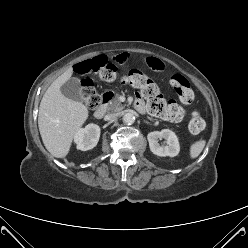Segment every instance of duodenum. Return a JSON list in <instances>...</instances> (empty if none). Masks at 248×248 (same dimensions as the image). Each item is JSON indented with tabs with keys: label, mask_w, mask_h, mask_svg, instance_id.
Wrapping results in <instances>:
<instances>
[{
	"label": "duodenum",
	"mask_w": 248,
	"mask_h": 248,
	"mask_svg": "<svg viewBox=\"0 0 248 248\" xmlns=\"http://www.w3.org/2000/svg\"><path fill=\"white\" fill-rule=\"evenodd\" d=\"M111 97L112 95L110 93H104L100 95L101 104L94 112L95 118L101 119L105 115L107 109V103L110 101ZM135 107L140 108L141 104L139 102H135Z\"/></svg>",
	"instance_id": "obj_1"
}]
</instances>
